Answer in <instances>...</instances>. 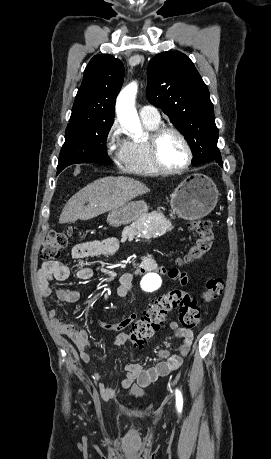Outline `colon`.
Masks as SVG:
<instances>
[{
	"label": "colon",
	"instance_id": "obj_1",
	"mask_svg": "<svg viewBox=\"0 0 271 459\" xmlns=\"http://www.w3.org/2000/svg\"><path fill=\"white\" fill-rule=\"evenodd\" d=\"M189 229L197 234L194 244L180 259L181 263L193 262L208 253L213 244L214 231L209 219L201 218L189 223ZM72 230L53 231L43 241L40 256L43 260L53 261L57 259L62 250L67 246ZM224 282L220 277L209 278L203 292L206 301L218 298L223 291ZM179 310V318L186 328H195L201 321V309L197 301L190 293L174 289L157 298L137 320L128 335L129 341L135 347L143 346L155 333H157L165 321L166 316L172 310Z\"/></svg>",
	"mask_w": 271,
	"mask_h": 459
}]
</instances>
